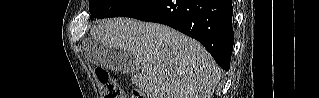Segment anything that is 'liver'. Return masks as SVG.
<instances>
[{"label": "liver", "instance_id": "1", "mask_svg": "<svg viewBox=\"0 0 319 98\" xmlns=\"http://www.w3.org/2000/svg\"><path fill=\"white\" fill-rule=\"evenodd\" d=\"M90 34L96 43L135 56L131 82L148 98H211L219 82L220 68L207 50L168 26L118 17Z\"/></svg>", "mask_w": 319, "mask_h": 98}]
</instances>
